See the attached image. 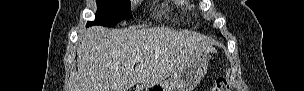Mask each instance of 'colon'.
I'll use <instances>...</instances> for the list:
<instances>
[{
    "mask_svg": "<svg viewBox=\"0 0 304 91\" xmlns=\"http://www.w3.org/2000/svg\"><path fill=\"white\" fill-rule=\"evenodd\" d=\"M213 90L215 91H231L232 87L230 83L224 77H217L215 79V85Z\"/></svg>",
    "mask_w": 304,
    "mask_h": 91,
    "instance_id": "obj_1",
    "label": "colon"
}]
</instances>
